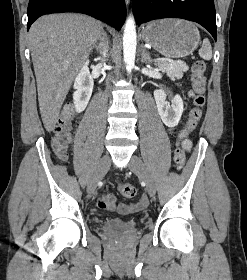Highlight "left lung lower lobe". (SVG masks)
<instances>
[{
	"mask_svg": "<svg viewBox=\"0 0 247 280\" xmlns=\"http://www.w3.org/2000/svg\"><path fill=\"white\" fill-rule=\"evenodd\" d=\"M138 25L161 18H182L206 28L216 40L214 0H133Z\"/></svg>",
	"mask_w": 247,
	"mask_h": 280,
	"instance_id": "obj_1",
	"label": "left lung lower lobe"
}]
</instances>
